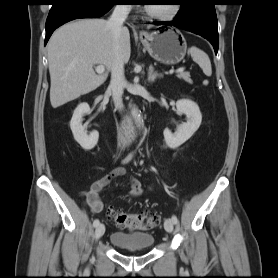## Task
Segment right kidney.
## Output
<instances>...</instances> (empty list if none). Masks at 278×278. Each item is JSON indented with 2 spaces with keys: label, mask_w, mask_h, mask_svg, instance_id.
Here are the masks:
<instances>
[{
  "label": "right kidney",
  "mask_w": 278,
  "mask_h": 278,
  "mask_svg": "<svg viewBox=\"0 0 278 278\" xmlns=\"http://www.w3.org/2000/svg\"><path fill=\"white\" fill-rule=\"evenodd\" d=\"M91 112L90 107L87 103H81L74 110L72 119L70 121V128L72 130L74 139L78 144L85 150L93 149L99 138V133L97 131L91 132L89 135L84 132V127L82 126V117L84 114H89Z\"/></svg>",
  "instance_id": "right-kidney-1"
}]
</instances>
